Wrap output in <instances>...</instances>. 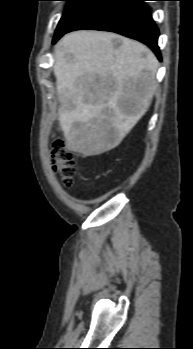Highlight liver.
I'll list each match as a JSON object with an SVG mask.
<instances>
[{"label":"liver","mask_w":193,"mask_h":349,"mask_svg":"<svg viewBox=\"0 0 193 349\" xmlns=\"http://www.w3.org/2000/svg\"><path fill=\"white\" fill-rule=\"evenodd\" d=\"M157 69L154 53L138 41L101 31L66 34L55 47L53 72L67 147L85 157L117 147L148 110ZM121 100L135 109L124 112Z\"/></svg>","instance_id":"liver-1"}]
</instances>
